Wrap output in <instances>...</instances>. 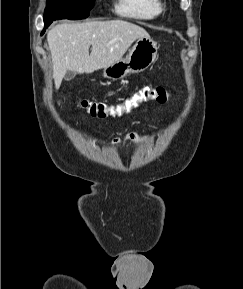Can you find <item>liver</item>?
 Masks as SVG:
<instances>
[{
  "label": "liver",
  "mask_w": 243,
  "mask_h": 289,
  "mask_svg": "<svg viewBox=\"0 0 243 289\" xmlns=\"http://www.w3.org/2000/svg\"><path fill=\"white\" fill-rule=\"evenodd\" d=\"M147 31L124 20L63 23L47 34L55 88L68 70L92 73L120 60L131 44ZM92 46L91 53L89 48Z\"/></svg>",
  "instance_id": "6515ba94"
}]
</instances>
